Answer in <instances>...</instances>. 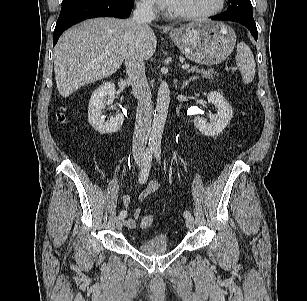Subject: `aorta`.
Masks as SVG:
<instances>
[{"mask_svg":"<svg viewBox=\"0 0 307 301\" xmlns=\"http://www.w3.org/2000/svg\"><path fill=\"white\" fill-rule=\"evenodd\" d=\"M170 103V90L168 84L164 81L160 84L157 102L155 107V114L150 130L149 146L151 148H160L162 134L168 114Z\"/></svg>","mask_w":307,"mask_h":301,"instance_id":"1","label":"aorta"}]
</instances>
